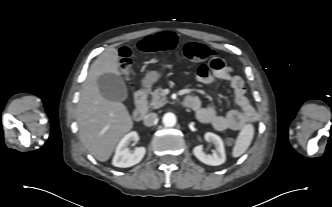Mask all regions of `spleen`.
I'll return each mask as SVG.
<instances>
[{
	"label": "spleen",
	"mask_w": 332,
	"mask_h": 207,
	"mask_svg": "<svg viewBox=\"0 0 332 207\" xmlns=\"http://www.w3.org/2000/svg\"><path fill=\"white\" fill-rule=\"evenodd\" d=\"M254 137V127L252 124L245 125L239 133L233 148V157L241 156L250 146Z\"/></svg>",
	"instance_id": "spleen-1"
}]
</instances>
